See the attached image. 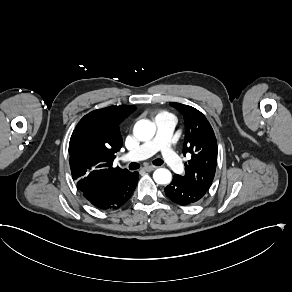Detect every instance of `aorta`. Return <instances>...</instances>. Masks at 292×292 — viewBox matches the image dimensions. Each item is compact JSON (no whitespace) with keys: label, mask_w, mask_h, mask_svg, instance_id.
<instances>
[{"label":"aorta","mask_w":292,"mask_h":292,"mask_svg":"<svg viewBox=\"0 0 292 292\" xmlns=\"http://www.w3.org/2000/svg\"><path fill=\"white\" fill-rule=\"evenodd\" d=\"M134 135L140 141L150 140L155 135V126L149 120H139L134 126ZM153 179L157 184H168L171 182L172 175L168 169L159 168L155 170Z\"/></svg>","instance_id":"aorta-1"}]
</instances>
